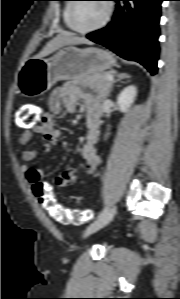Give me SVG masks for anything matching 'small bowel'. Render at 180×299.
<instances>
[{
    "label": "small bowel",
    "mask_w": 180,
    "mask_h": 299,
    "mask_svg": "<svg viewBox=\"0 0 180 299\" xmlns=\"http://www.w3.org/2000/svg\"><path fill=\"white\" fill-rule=\"evenodd\" d=\"M83 103L87 108L86 115V142L81 147V156L86 162L85 171L88 174L94 173L100 166L101 159L96 150V142L100 126V107L96 97L84 89L80 82H70L62 88L51 93L48 105L50 113L46 114L43 120L32 128L25 129L19 136L20 145H26L30 142L34 133L43 135L46 141L50 143L57 142L61 137V130L55 125L54 116H60L63 109L68 112H74L78 105ZM38 151L35 148H29L23 151L22 157L26 162L36 159ZM25 179L28 183H46L44 181V172L41 169L23 168ZM80 172L75 167H70L55 179L59 187H67L78 181Z\"/></svg>",
    "instance_id": "obj_1"
}]
</instances>
